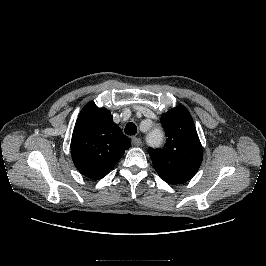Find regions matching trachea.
<instances>
[{
    "label": "trachea",
    "mask_w": 266,
    "mask_h": 266,
    "mask_svg": "<svg viewBox=\"0 0 266 266\" xmlns=\"http://www.w3.org/2000/svg\"><path fill=\"white\" fill-rule=\"evenodd\" d=\"M124 131L127 135H135L137 133V127L134 123L130 122L126 125Z\"/></svg>",
    "instance_id": "1"
}]
</instances>
